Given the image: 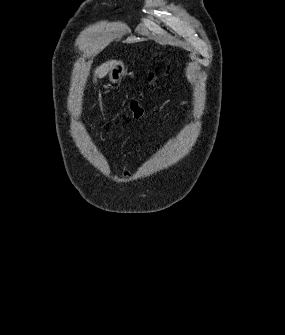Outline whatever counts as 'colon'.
<instances>
[{"label": "colon", "instance_id": "obj_1", "mask_svg": "<svg viewBox=\"0 0 285 335\" xmlns=\"http://www.w3.org/2000/svg\"><path fill=\"white\" fill-rule=\"evenodd\" d=\"M155 76L156 75L154 73H150L148 77L149 81L152 82L155 79ZM143 112L144 108H143L142 97L132 100L130 104L123 111L124 114L133 118L141 117Z\"/></svg>", "mask_w": 285, "mask_h": 335}]
</instances>
